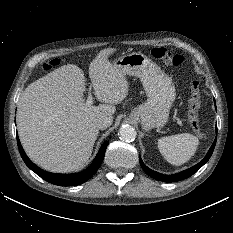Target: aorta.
Listing matches in <instances>:
<instances>
[{"mask_svg": "<svg viewBox=\"0 0 233 233\" xmlns=\"http://www.w3.org/2000/svg\"><path fill=\"white\" fill-rule=\"evenodd\" d=\"M119 138L126 142L134 141L136 138V130L131 125H123L119 129Z\"/></svg>", "mask_w": 233, "mask_h": 233, "instance_id": "762f6f07", "label": "aorta"}]
</instances>
